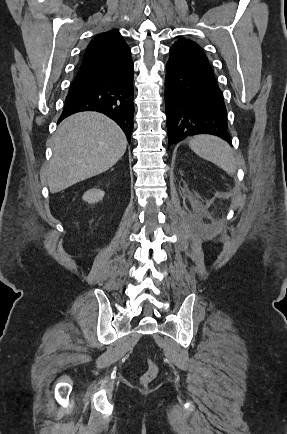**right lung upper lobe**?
<instances>
[{
	"label": "right lung upper lobe",
	"instance_id": "right-lung-upper-lobe-1",
	"mask_svg": "<svg viewBox=\"0 0 287 434\" xmlns=\"http://www.w3.org/2000/svg\"><path fill=\"white\" fill-rule=\"evenodd\" d=\"M130 53V48L118 30L103 32L94 37L84 53L81 66L99 64Z\"/></svg>",
	"mask_w": 287,
	"mask_h": 434
}]
</instances>
